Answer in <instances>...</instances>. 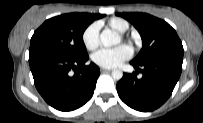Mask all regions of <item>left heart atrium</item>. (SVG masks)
<instances>
[{"instance_id":"left-heart-atrium-1","label":"left heart atrium","mask_w":203,"mask_h":123,"mask_svg":"<svg viewBox=\"0 0 203 123\" xmlns=\"http://www.w3.org/2000/svg\"><path fill=\"white\" fill-rule=\"evenodd\" d=\"M132 56V49L127 45L115 48H101L92 55L93 62L103 68H114Z\"/></svg>"}]
</instances>
